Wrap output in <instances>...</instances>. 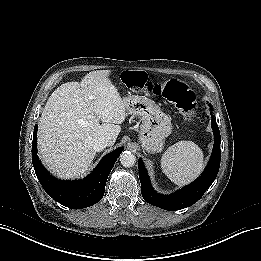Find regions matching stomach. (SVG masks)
Instances as JSON below:
<instances>
[{
    "instance_id": "obj_1",
    "label": "stomach",
    "mask_w": 261,
    "mask_h": 261,
    "mask_svg": "<svg viewBox=\"0 0 261 261\" xmlns=\"http://www.w3.org/2000/svg\"><path fill=\"white\" fill-rule=\"evenodd\" d=\"M127 114L141 120L139 142L147 153H158L172 132L171 119L154 101L141 96L124 98Z\"/></svg>"
}]
</instances>
